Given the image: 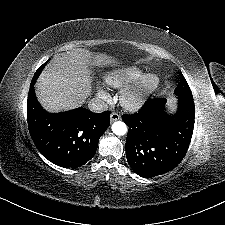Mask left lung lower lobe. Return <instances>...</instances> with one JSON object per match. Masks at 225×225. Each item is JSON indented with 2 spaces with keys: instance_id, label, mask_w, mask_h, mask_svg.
Masks as SVG:
<instances>
[{
  "instance_id": "obj_1",
  "label": "left lung lower lobe",
  "mask_w": 225,
  "mask_h": 225,
  "mask_svg": "<svg viewBox=\"0 0 225 225\" xmlns=\"http://www.w3.org/2000/svg\"><path fill=\"white\" fill-rule=\"evenodd\" d=\"M178 98V111L173 116L164 112V99H149L138 113L122 116L129 127L125 145L128 163L143 178L174 169L188 150L195 106L192 96Z\"/></svg>"
}]
</instances>
